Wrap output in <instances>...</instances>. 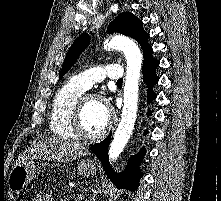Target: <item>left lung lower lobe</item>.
Listing matches in <instances>:
<instances>
[{
	"label": "left lung lower lobe",
	"instance_id": "left-lung-lower-lobe-1",
	"mask_svg": "<svg viewBox=\"0 0 221 201\" xmlns=\"http://www.w3.org/2000/svg\"><path fill=\"white\" fill-rule=\"evenodd\" d=\"M159 66V61L151 58L143 64V78L148 87V102H152L156 95L152 88L158 83L159 77L156 75V69ZM151 114V111L148 112ZM147 133V131H146ZM110 139L106 138L101 143L95 144L90 147L91 151L99 158L103 168L109 179L120 189H127L135 191L139 185V179L142 176L140 171V163L145 155V148H142L138 154L131 157L124 172L116 174L109 166L108 161V143Z\"/></svg>",
	"mask_w": 221,
	"mask_h": 201
}]
</instances>
